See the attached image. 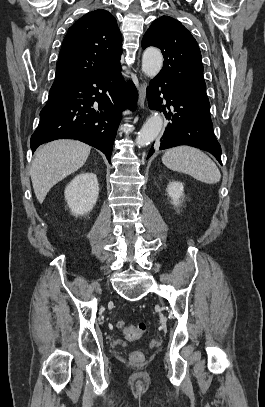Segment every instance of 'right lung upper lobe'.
Segmentation results:
<instances>
[{"instance_id": "cb5924a9", "label": "right lung upper lobe", "mask_w": 265, "mask_h": 407, "mask_svg": "<svg viewBox=\"0 0 265 407\" xmlns=\"http://www.w3.org/2000/svg\"><path fill=\"white\" fill-rule=\"evenodd\" d=\"M121 53L122 36L116 19L105 10L89 12L68 29L52 87H68L119 66Z\"/></svg>"}]
</instances>
